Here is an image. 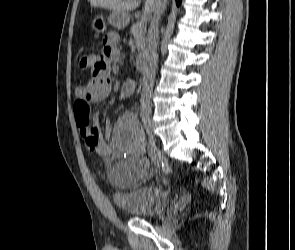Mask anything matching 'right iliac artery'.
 Returning a JSON list of instances; mask_svg holds the SVG:
<instances>
[{"mask_svg": "<svg viewBox=\"0 0 295 250\" xmlns=\"http://www.w3.org/2000/svg\"><path fill=\"white\" fill-rule=\"evenodd\" d=\"M146 147L148 148V153L150 154L152 161H154L155 158H156L155 154H154L155 153V147H152L151 143H147Z\"/></svg>", "mask_w": 295, "mask_h": 250, "instance_id": "obj_1", "label": "right iliac artery"}]
</instances>
